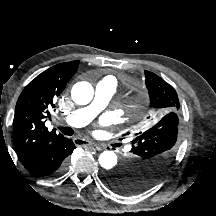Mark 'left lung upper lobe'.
Instances as JSON below:
<instances>
[{
  "instance_id": "1",
  "label": "left lung upper lobe",
  "mask_w": 216,
  "mask_h": 216,
  "mask_svg": "<svg viewBox=\"0 0 216 216\" xmlns=\"http://www.w3.org/2000/svg\"><path fill=\"white\" fill-rule=\"evenodd\" d=\"M145 77L150 107L158 114L153 126L134 133L121 167L107 173L106 184L120 194H137L159 181L173 163L185 131L175 89L152 72L145 71Z\"/></svg>"
}]
</instances>
